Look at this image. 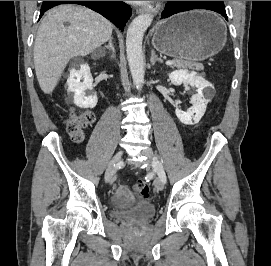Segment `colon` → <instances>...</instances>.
<instances>
[{"instance_id":"colon-1","label":"colon","mask_w":271,"mask_h":266,"mask_svg":"<svg viewBox=\"0 0 271 266\" xmlns=\"http://www.w3.org/2000/svg\"><path fill=\"white\" fill-rule=\"evenodd\" d=\"M94 120V115L89 111L73 112L65 121L66 131L75 142H81L84 138V129ZM133 191L142 198H148L150 189L147 183L142 180L133 185Z\"/></svg>"}]
</instances>
